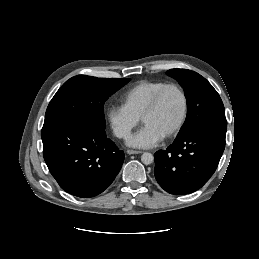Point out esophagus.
<instances>
[{
  "label": "esophagus",
  "mask_w": 259,
  "mask_h": 259,
  "mask_svg": "<svg viewBox=\"0 0 259 259\" xmlns=\"http://www.w3.org/2000/svg\"><path fill=\"white\" fill-rule=\"evenodd\" d=\"M127 153H128L129 155H132V154H141L142 151H137V150L128 149V150H127Z\"/></svg>",
  "instance_id": "34e87169"
}]
</instances>
